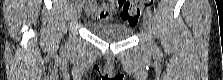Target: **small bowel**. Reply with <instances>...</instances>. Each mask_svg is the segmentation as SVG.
Listing matches in <instances>:
<instances>
[{
	"mask_svg": "<svg viewBox=\"0 0 223 80\" xmlns=\"http://www.w3.org/2000/svg\"><path fill=\"white\" fill-rule=\"evenodd\" d=\"M86 12L94 19L108 20L112 15L116 14L113 7L106 4L90 3L86 8Z\"/></svg>",
	"mask_w": 223,
	"mask_h": 80,
	"instance_id": "1",
	"label": "small bowel"
}]
</instances>
